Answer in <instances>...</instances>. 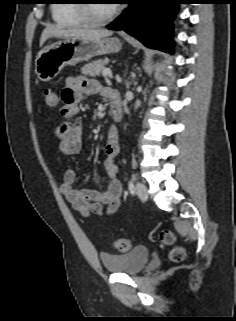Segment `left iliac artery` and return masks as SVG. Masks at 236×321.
I'll return each mask as SVG.
<instances>
[{
    "instance_id": "1",
    "label": "left iliac artery",
    "mask_w": 236,
    "mask_h": 321,
    "mask_svg": "<svg viewBox=\"0 0 236 321\" xmlns=\"http://www.w3.org/2000/svg\"><path fill=\"white\" fill-rule=\"evenodd\" d=\"M128 189L132 195L135 193V186L132 180H129L128 182Z\"/></svg>"
}]
</instances>
